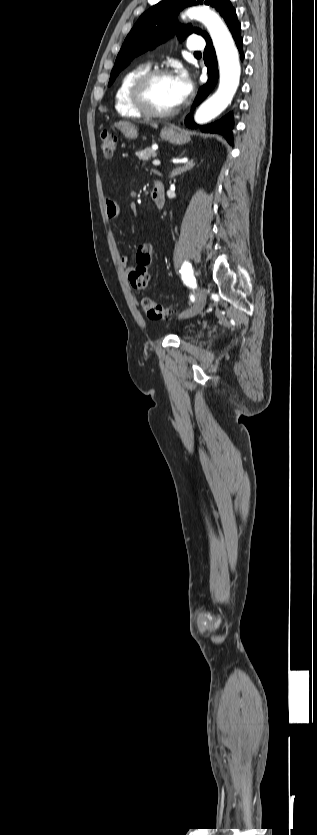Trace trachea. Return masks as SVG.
Masks as SVG:
<instances>
[{
    "mask_svg": "<svg viewBox=\"0 0 317 835\" xmlns=\"http://www.w3.org/2000/svg\"><path fill=\"white\" fill-rule=\"evenodd\" d=\"M194 54H195V55H201V53H200V52H195Z\"/></svg>",
    "mask_w": 317,
    "mask_h": 835,
    "instance_id": "1",
    "label": "trachea"
}]
</instances>
